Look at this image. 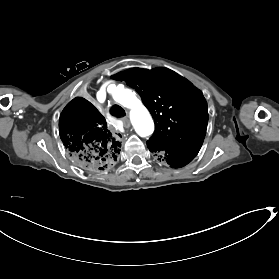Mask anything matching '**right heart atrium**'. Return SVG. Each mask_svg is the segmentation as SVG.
I'll return each instance as SVG.
<instances>
[{
    "label": "right heart atrium",
    "mask_w": 279,
    "mask_h": 279,
    "mask_svg": "<svg viewBox=\"0 0 279 279\" xmlns=\"http://www.w3.org/2000/svg\"><path fill=\"white\" fill-rule=\"evenodd\" d=\"M144 113L143 109H138L134 112H132V115L136 116V115H142Z\"/></svg>",
    "instance_id": "d8ad5b80"
}]
</instances>
